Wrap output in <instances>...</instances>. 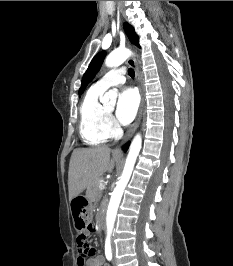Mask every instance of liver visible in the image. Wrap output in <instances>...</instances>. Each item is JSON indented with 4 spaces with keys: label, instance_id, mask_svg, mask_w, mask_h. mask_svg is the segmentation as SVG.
<instances>
[{
    "label": "liver",
    "instance_id": "obj_1",
    "mask_svg": "<svg viewBox=\"0 0 233 266\" xmlns=\"http://www.w3.org/2000/svg\"><path fill=\"white\" fill-rule=\"evenodd\" d=\"M111 149L106 146L78 148L71 155L68 172L69 200L81 194L96 183L105 172L114 169L115 161L120 157L115 153L110 159Z\"/></svg>",
    "mask_w": 233,
    "mask_h": 266
}]
</instances>
